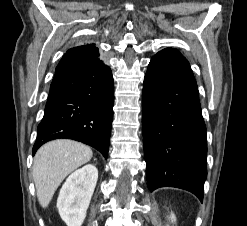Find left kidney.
Instances as JSON below:
<instances>
[{
	"label": "left kidney",
	"instance_id": "left-kidney-1",
	"mask_svg": "<svg viewBox=\"0 0 247 226\" xmlns=\"http://www.w3.org/2000/svg\"><path fill=\"white\" fill-rule=\"evenodd\" d=\"M168 218L171 220V222H175L176 221V217H175L174 213H171Z\"/></svg>",
	"mask_w": 247,
	"mask_h": 226
}]
</instances>
